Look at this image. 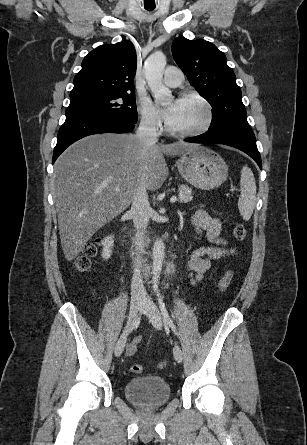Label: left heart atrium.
Wrapping results in <instances>:
<instances>
[{
	"instance_id": "left-heart-atrium-1",
	"label": "left heart atrium",
	"mask_w": 307,
	"mask_h": 445,
	"mask_svg": "<svg viewBox=\"0 0 307 445\" xmlns=\"http://www.w3.org/2000/svg\"><path fill=\"white\" fill-rule=\"evenodd\" d=\"M178 102H179V100H173L169 104H167L165 107H163L162 113H163L164 118L168 122H170L173 119L175 112H176V107H177Z\"/></svg>"
}]
</instances>
